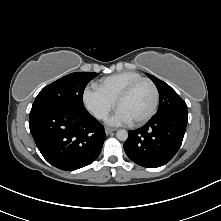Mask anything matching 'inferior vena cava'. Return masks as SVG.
<instances>
[{"label":"inferior vena cava","instance_id":"1","mask_svg":"<svg viewBox=\"0 0 221 221\" xmlns=\"http://www.w3.org/2000/svg\"><path fill=\"white\" fill-rule=\"evenodd\" d=\"M96 118L98 119H105L108 116V113L106 111H99L95 114Z\"/></svg>","mask_w":221,"mask_h":221}]
</instances>
